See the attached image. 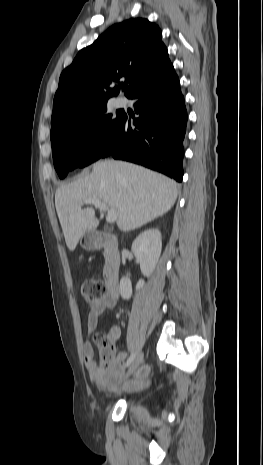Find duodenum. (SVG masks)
<instances>
[{
	"label": "duodenum",
	"mask_w": 263,
	"mask_h": 465,
	"mask_svg": "<svg viewBox=\"0 0 263 465\" xmlns=\"http://www.w3.org/2000/svg\"><path fill=\"white\" fill-rule=\"evenodd\" d=\"M86 245L90 249L104 248L107 251V261L104 270L105 280L109 292L113 295L118 294L121 256L115 236L111 234L92 235L87 239Z\"/></svg>",
	"instance_id": "1"
}]
</instances>
